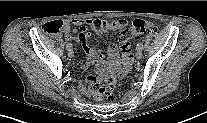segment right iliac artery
<instances>
[{
	"label": "right iliac artery",
	"mask_w": 207,
	"mask_h": 123,
	"mask_svg": "<svg viewBox=\"0 0 207 123\" xmlns=\"http://www.w3.org/2000/svg\"><path fill=\"white\" fill-rule=\"evenodd\" d=\"M66 47H67V49L72 48V46H71V44H70V43H68V44L66 45Z\"/></svg>",
	"instance_id": "82829eb1"
}]
</instances>
